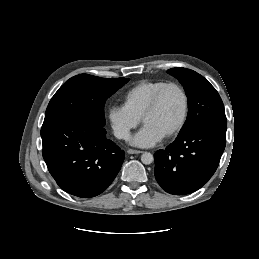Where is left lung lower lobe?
<instances>
[{"instance_id": "left-lung-lower-lobe-1", "label": "left lung lower lobe", "mask_w": 259, "mask_h": 259, "mask_svg": "<svg viewBox=\"0 0 259 259\" xmlns=\"http://www.w3.org/2000/svg\"><path fill=\"white\" fill-rule=\"evenodd\" d=\"M227 123L199 124L154 154L155 177L168 193L200 189L215 173L226 144Z\"/></svg>"}]
</instances>
